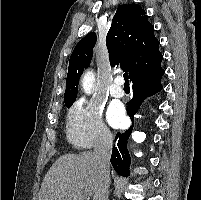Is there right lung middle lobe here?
Listing matches in <instances>:
<instances>
[{
    "instance_id": "obj_1",
    "label": "right lung middle lobe",
    "mask_w": 201,
    "mask_h": 200,
    "mask_svg": "<svg viewBox=\"0 0 201 200\" xmlns=\"http://www.w3.org/2000/svg\"><path fill=\"white\" fill-rule=\"evenodd\" d=\"M74 101H75V99L65 100L64 101L65 106L69 108L73 104Z\"/></svg>"
}]
</instances>
